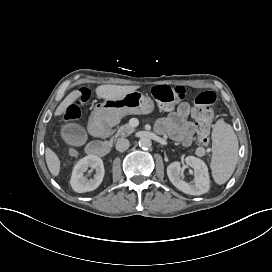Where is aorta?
<instances>
[{"label": "aorta", "mask_w": 272, "mask_h": 272, "mask_svg": "<svg viewBox=\"0 0 272 272\" xmlns=\"http://www.w3.org/2000/svg\"><path fill=\"white\" fill-rule=\"evenodd\" d=\"M152 145V142L149 138L143 137L139 140V146L144 149L150 148Z\"/></svg>", "instance_id": "762f6f07"}]
</instances>
